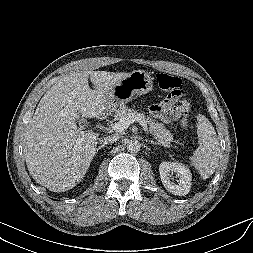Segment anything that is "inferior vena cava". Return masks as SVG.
Instances as JSON below:
<instances>
[{
	"label": "inferior vena cava",
	"instance_id": "602c4592",
	"mask_svg": "<svg viewBox=\"0 0 253 253\" xmlns=\"http://www.w3.org/2000/svg\"><path fill=\"white\" fill-rule=\"evenodd\" d=\"M117 139H118L117 136H106L103 138H99V142L105 145L108 143H114L117 141Z\"/></svg>",
	"mask_w": 253,
	"mask_h": 253
}]
</instances>
